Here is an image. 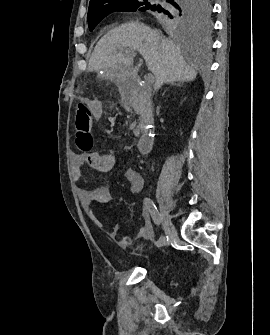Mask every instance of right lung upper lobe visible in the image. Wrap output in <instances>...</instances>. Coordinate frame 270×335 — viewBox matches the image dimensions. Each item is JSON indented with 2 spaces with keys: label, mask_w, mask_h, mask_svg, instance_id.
I'll return each mask as SVG.
<instances>
[{
  "label": "right lung upper lobe",
  "mask_w": 270,
  "mask_h": 335,
  "mask_svg": "<svg viewBox=\"0 0 270 335\" xmlns=\"http://www.w3.org/2000/svg\"><path fill=\"white\" fill-rule=\"evenodd\" d=\"M117 0H90L89 7H97Z\"/></svg>",
  "instance_id": "obj_1"
}]
</instances>
